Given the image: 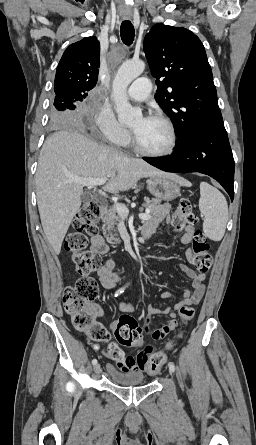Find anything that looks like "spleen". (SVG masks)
I'll return each mask as SVG.
<instances>
[{"label":"spleen","instance_id":"spleen-1","mask_svg":"<svg viewBox=\"0 0 256 445\" xmlns=\"http://www.w3.org/2000/svg\"><path fill=\"white\" fill-rule=\"evenodd\" d=\"M199 210L204 216L203 231L213 241H220L228 221V205L223 194L206 182L200 183Z\"/></svg>","mask_w":256,"mask_h":445}]
</instances>
